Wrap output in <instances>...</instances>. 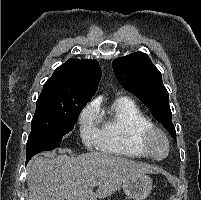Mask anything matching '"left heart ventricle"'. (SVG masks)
Returning a JSON list of instances; mask_svg holds the SVG:
<instances>
[{
  "mask_svg": "<svg viewBox=\"0 0 201 200\" xmlns=\"http://www.w3.org/2000/svg\"><path fill=\"white\" fill-rule=\"evenodd\" d=\"M152 153L155 157H162L166 153L167 145L164 138L155 134L151 139Z\"/></svg>",
  "mask_w": 201,
  "mask_h": 200,
  "instance_id": "1",
  "label": "left heart ventricle"
}]
</instances>
